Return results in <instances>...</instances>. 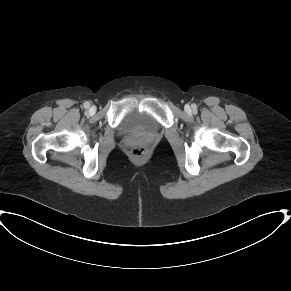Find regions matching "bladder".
<instances>
[{
  "instance_id": "bladder-1",
  "label": "bladder",
  "mask_w": 291,
  "mask_h": 291,
  "mask_svg": "<svg viewBox=\"0 0 291 291\" xmlns=\"http://www.w3.org/2000/svg\"><path fill=\"white\" fill-rule=\"evenodd\" d=\"M155 125L154 120L145 112H135L126 115L121 121V131L130 134L140 131L152 130Z\"/></svg>"
}]
</instances>
